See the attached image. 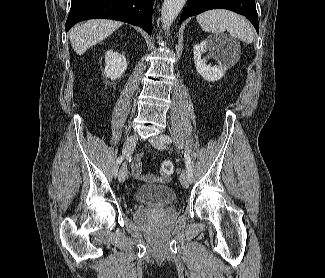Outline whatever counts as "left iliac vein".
Here are the masks:
<instances>
[{"instance_id": "4c4485c4", "label": "left iliac vein", "mask_w": 325, "mask_h": 278, "mask_svg": "<svg viewBox=\"0 0 325 278\" xmlns=\"http://www.w3.org/2000/svg\"><path fill=\"white\" fill-rule=\"evenodd\" d=\"M150 143L152 146H154L155 148L159 149V150H165L166 149V144L164 142H162L160 140V136H156L153 137L150 140ZM180 183L184 188H188L189 187V178L188 175L185 171H183L180 175Z\"/></svg>"}]
</instances>
